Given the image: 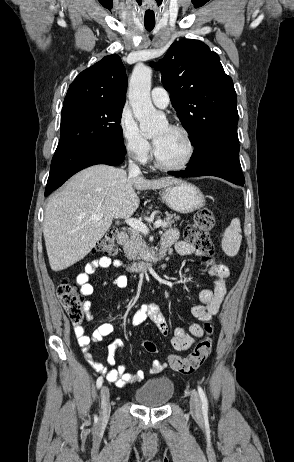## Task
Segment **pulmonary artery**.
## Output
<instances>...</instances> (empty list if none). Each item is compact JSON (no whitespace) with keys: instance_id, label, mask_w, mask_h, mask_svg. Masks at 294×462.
Segmentation results:
<instances>
[{"instance_id":"pulmonary-artery-1","label":"pulmonary artery","mask_w":294,"mask_h":462,"mask_svg":"<svg viewBox=\"0 0 294 462\" xmlns=\"http://www.w3.org/2000/svg\"><path fill=\"white\" fill-rule=\"evenodd\" d=\"M151 99L159 108H166L170 102L169 93L163 87H154L151 90Z\"/></svg>"}]
</instances>
